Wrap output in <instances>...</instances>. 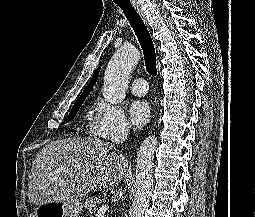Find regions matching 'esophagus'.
Returning <instances> with one entry per match:
<instances>
[{
	"instance_id": "esophagus-1",
	"label": "esophagus",
	"mask_w": 255,
	"mask_h": 217,
	"mask_svg": "<svg viewBox=\"0 0 255 217\" xmlns=\"http://www.w3.org/2000/svg\"><path fill=\"white\" fill-rule=\"evenodd\" d=\"M132 4H133L134 8L136 9V11L138 12V14L141 16V18L146 23V17H145V14H144L140 4L138 2H136L135 0L132 2Z\"/></svg>"
}]
</instances>
